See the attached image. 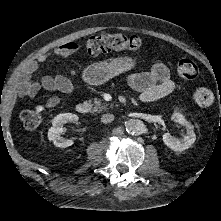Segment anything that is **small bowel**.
<instances>
[{"instance_id": "obj_1", "label": "small bowel", "mask_w": 221, "mask_h": 221, "mask_svg": "<svg viewBox=\"0 0 221 221\" xmlns=\"http://www.w3.org/2000/svg\"><path fill=\"white\" fill-rule=\"evenodd\" d=\"M77 48V44L73 42L65 43L27 63L19 75L21 95L34 98L41 89L59 91L66 94L72 93L76 87L75 77L77 71L75 67H71L69 77L63 75L44 76L35 81L32 76L38 70L39 65L49 58L70 56L77 51ZM127 81L132 88L140 93L139 99L143 102L159 100L171 94L177 87L176 82L170 76L168 67L161 62L153 64L148 72L129 75ZM59 102L60 98L57 95H53L47 100V104L50 107L58 105Z\"/></svg>"}]
</instances>
